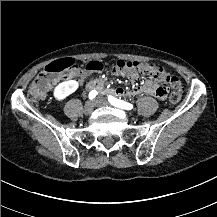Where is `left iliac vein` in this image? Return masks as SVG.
I'll return each mask as SVG.
<instances>
[{"mask_svg": "<svg viewBox=\"0 0 217 217\" xmlns=\"http://www.w3.org/2000/svg\"><path fill=\"white\" fill-rule=\"evenodd\" d=\"M94 103L97 106H106L109 104L108 101L104 98H97L94 100Z\"/></svg>", "mask_w": 217, "mask_h": 217, "instance_id": "4c4485c4", "label": "left iliac vein"}]
</instances>
